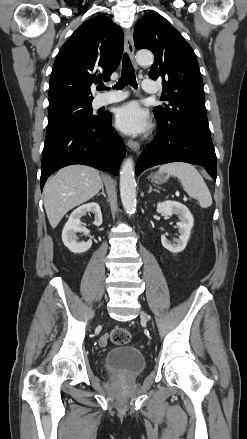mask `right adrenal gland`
Masks as SVG:
<instances>
[{
  "instance_id": "2a0ac1e0",
  "label": "right adrenal gland",
  "mask_w": 247,
  "mask_h": 439,
  "mask_svg": "<svg viewBox=\"0 0 247 439\" xmlns=\"http://www.w3.org/2000/svg\"><path fill=\"white\" fill-rule=\"evenodd\" d=\"M101 190H102V192L99 193V194H97V197L100 196L101 194H102L104 197H106V194H105V192H104V186H103V185H102V187H101Z\"/></svg>"
}]
</instances>
